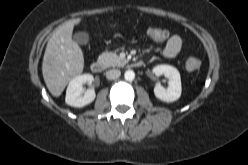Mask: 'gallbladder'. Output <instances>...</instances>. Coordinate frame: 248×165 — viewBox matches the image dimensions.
Returning <instances> with one entry per match:
<instances>
[{"instance_id": "1", "label": "gallbladder", "mask_w": 248, "mask_h": 165, "mask_svg": "<svg viewBox=\"0 0 248 165\" xmlns=\"http://www.w3.org/2000/svg\"><path fill=\"white\" fill-rule=\"evenodd\" d=\"M74 41L78 44L86 45L89 41V35L86 32H78L74 36Z\"/></svg>"}]
</instances>
